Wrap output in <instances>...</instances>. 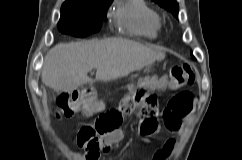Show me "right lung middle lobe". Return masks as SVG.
<instances>
[{
  "label": "right lung middle lobe",
  "instance_id": "dd1d6c3e",
  "mask_svg": "<svg viewBox=\"0 0 242 160\" xmlns=\"http://www.w3.org/2000/svg\"><path fill=\"white\" fill-rule=\"evenodd\" d=\"M112 0L63 3L58 29L65 34L84 37L97 32Z\"/></svg>",
  "mask_w": 242,
  "mask_h": 160
}]
</instances>
